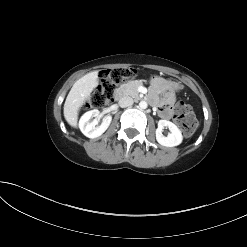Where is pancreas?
Here are the masks:
<instances>
[{"label": "pancreas", "mask_w": 247, "mask_h": 247, "mask_svg": "<svg viewBox=\"0 0 247 247\" xmlns=\"http://www.w3.org/2000/svg\"><path fill=\"white\" fill-rule=\"evenodd\" d=\"M142 84L140 81H131L121 85L124 95H130L134 98H139L138 87Z\"/></svg>", "instance_id": "pancreas-1"}]
</instances>
